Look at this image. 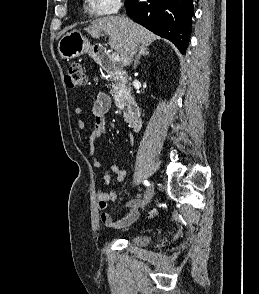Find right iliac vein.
Segmentation results:
<instances>
[{"label": "right iliac vein", "instance_id": "63e3f726", "mask_svg": "<svg viewBox=\"0 0 259 294\" xmlns=\"http://www.w3.org/2000/svg\"><path fill=\"white\" fill-rule=\"evenodd\" d=\"M154 195V185L153 183L147 188V191L145 193L144 199H143V203H142V207L146 206L152 199Z\"/></svg>", "mask_w": 259, "mask_h": 294}]
</instances>
